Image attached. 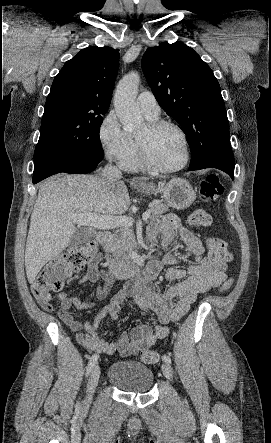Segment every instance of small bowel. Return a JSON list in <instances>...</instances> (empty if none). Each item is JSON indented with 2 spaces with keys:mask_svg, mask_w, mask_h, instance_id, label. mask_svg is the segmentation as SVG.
Wrapping results in <instances>:
<instances>
[{
  "mask_svg": "<svg viewBox=\"0 0 271 443\" xmlns=\"http://www.w3.org/2000/svg\"><path fill=\"white\" fill-rule=\"evenodd\" d=\"M160 236L163 246L168 248L176 237L184 245V250L194 262L187 270L170 267L165 278L172 284L165 290L153 286L152 280L160 272L164 263H173L175 258L166 255L162 260H153L147 270L131 284L126 285L104 305L91 321L81 323L70 313V308L90 309L92 302H85L64 292L57 294L60 306L57 316L76 332L77 342L90 351L112 355L118 352L122 357L138 356L152 347L157 340L169 334L168 324L179 321L196 301L198 295L220 286L226 279L224 261L205 256L201 240L180 222L175 215H167L152 232V237ZM97 284L96 296L105 299L112 287L113 279L106 270H98L95 263L90 264L82 276L81 283ZM132 296L137 309L147 315V323L138 325L130 334L122 333L117 340L108 342L99 335V326L104 318L117 319L120 306L126 297ZM40 306L54 311L51 296L37 298ZM153 314L154 316H152Z\"/></svg>",
  "mask_w": 271,
  "mask_h": 443,
  "instance_id": "1",
  "label": "small bowel"
}]
</instances>
